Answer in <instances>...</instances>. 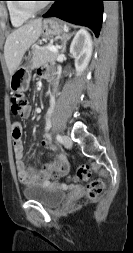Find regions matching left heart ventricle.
I'll list each match as a JSON object with an SVG mask.
<instances>
[{
    "label": "left heart ventricle",
    "mask_w": 133,
    "mask_h": 253,
    "mask_svg": "<svg viewBox=\"0 0 133 253\" xmlns=\"http://www.w3.org/2000/svg\"><path fill=\"white\" fill-rule=\"evenodd\" d=\"M41 4H42V2H31V3H29V5L33 6V7L39 6Z\"/></svg>",
    "instance_id": "b2bd125f"
}]
</instances>
